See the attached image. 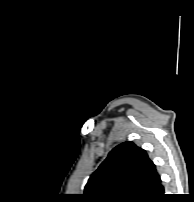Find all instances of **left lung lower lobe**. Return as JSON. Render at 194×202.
<instances>
[{"instance_id": "left-lung-lower-lobe-1", "label": "left lung lower lobe", "mask_w": 194, "mask_h": 202, "mask_svg": "<svg viewBox=\"0 0 194 202\" xmlns=\"http://www.w3.org/2000/svg\"><path fill=\"white\" fill-rule=\"evenodd\" d=\"M163 197H164V188L161 185V187L159 188V190L156 193V196L154 197V199L152 200V202H160Z\"/></svg>"}]
</instances>
